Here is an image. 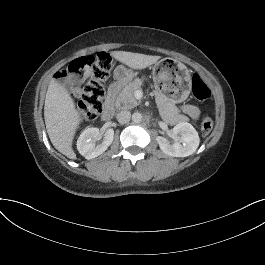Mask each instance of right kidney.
Returning a JSON list of instances; mask_svg holds the SVG:
<instances>
[{"instance_id":"ca27d5eb","label":"right kidney","mask_w":265,"mask_h":265,"mask_svg":"<svg viewBox=\"0 0 265 265\" xmlns=\"http://www.w3.org/2000/svg\"><path fill=\"white\" fill-rule=\"evenodd\" d=\"M101 138L98 128H86L77 140V149L86 159H92L101 155L112 144L114 139V130L108 129L101 144L96 142Z\"/></svg>"}]
</instances>
